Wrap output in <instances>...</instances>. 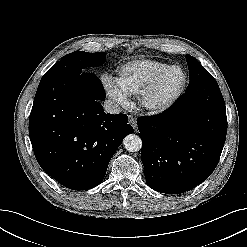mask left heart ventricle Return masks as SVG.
Returning a JSON list of instances; mask_svg holds the SVG:
<instances>
[{
	"mask_svg": "<svg viewBox=\"0 0 247 247\" xmlns=\"http://www.w3.org/2000/svg\"><path fill=\"white\" fill-rule=\"evenodd\" d=\"M182 82V74L179 70L169 71L162 78L157 92L158 97H165L175 91Z\"/></svg>",
	"mask_w": 247,
	"mask_h": 247,
	"instance_id": "b2bd125f",
	"label": "left heart ventricle"
}]
</instances>
